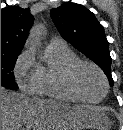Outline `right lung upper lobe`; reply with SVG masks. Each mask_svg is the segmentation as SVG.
<instances>
[{
  "label": "right lung upper lobe",
  "mask_w": 123,
  "mask_h": 130,
  "mask_svg": "<svg viewBox=\"0 0 123 130\" xmlns=\"http://www.w3.org/2000/svg\"><path fill=\"white\" fill-rule=\"evenodd\" d=\"M33 21L28 8L1 9V53L21 52Z\"/></svg>",
  "instance_id": "right-lung-upper-lobe-1"
}]
</instances>
